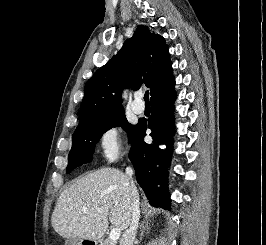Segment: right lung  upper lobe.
Returning <instances> with one entry per match:
<instances>
[{
	"label": "right lung upper lobe",
	"instance_id": "1",
	"mask_svg": "<svg viewBox=\"0 0 266 245\" xmlns=\"http://www.w3.org/2000/svg\"><path fill=\"white\" fill-rule=\"evenodd\" d=\"M174 81L164 38L139 25L118 54L87 81L80 121L124 110V88L137 90L145 83L152 97Z\"/></svg>",
	"mask_w": 266,
	"mask_h": 245
}]
</instances>
